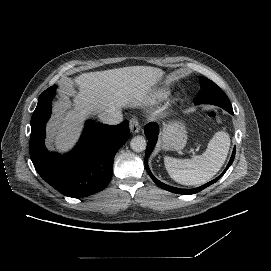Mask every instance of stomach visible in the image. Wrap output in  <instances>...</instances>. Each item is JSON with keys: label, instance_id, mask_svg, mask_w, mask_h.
<instances>
[{"label": "stomach", "instance_id": "stomach-1", "mask_svg": "<svg viewBox=\"0 0 271 271\" xmlns=\"http://www.w3.org/2000/svg\"><path fill=\"white\" fill-rule=\"evenodd\" d=\"M186 143L184 129L177 124L166 127L163 135V146L166 149L181 150Z\"/></svg>", "mask_w": 271, "mask_h": 271}]
</instances>
